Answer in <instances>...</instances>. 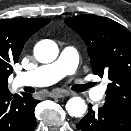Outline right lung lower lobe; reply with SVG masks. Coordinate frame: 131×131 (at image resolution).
Listing matches in <instances>:
<instances>
[{"label":"right lung lower lobe","mask_w":131,"mask_h":131,"mask_svg":"<svg viewBox=\"0 0 131 131\" xmlns=\"http://www.w3.org/2000/svg\"><path fill=\"white\" fill-rule=\"evenodd\" d=\"M39 100L29 93L12 95L8 88L0 89V131H34L35 106Z\"/></svg>","instance_id":"obj_1"}]
</instances>
